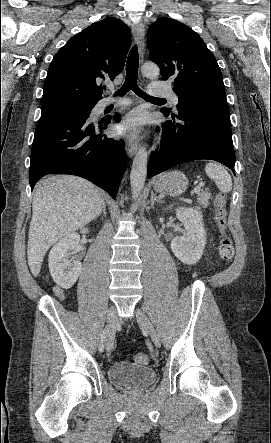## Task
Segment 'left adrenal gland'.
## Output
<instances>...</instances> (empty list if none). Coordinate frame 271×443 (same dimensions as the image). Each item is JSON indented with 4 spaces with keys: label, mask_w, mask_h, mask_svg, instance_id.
<instances>
[{
    "label": "left adrenal gland",
    "mask_w": 271,
    "mask_h": 443,
    "mask_svg": "<svg viewBox=\"0 0 271 443\" xmlns=\"http://www.w3.org/2000/svg\"><path fill=\"white\" fill-rule=\"evenodd\" d=\"M155 202H159V204H162V198H158V196H155V194L151 192V208H153Z\"/></svg>",
    "instance_id": "obj_1"
}]
</instances>
